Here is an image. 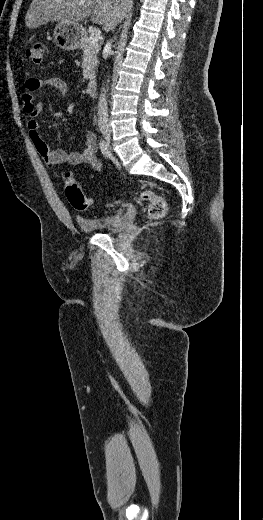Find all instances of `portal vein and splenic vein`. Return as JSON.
<instances>
[{"label": "portal vein and splenic vein", "instance_id": "18ae733b", "mask_svg": "<svg viewBox=\"0 0 263 520\" xmlns=\"http://www.w3.org/2000/svg\"><path fill=\"white\" fill-rule=\"evenodd\" d=\"M100 36H101V31L99 28L92 29L90 37H89L90 43L96 44L99 41Z\"/></svg>", "mask_w": 263, "mask_h": 520}]
</instances>
